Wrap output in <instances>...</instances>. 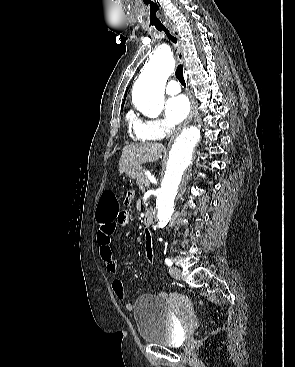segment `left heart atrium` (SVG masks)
I'll use <instances>...</instances> for the list:
<instances>
[{
	"label": "left heart atrium",
	"instance_id": "obj_1",
	"mask_svg": "<svg viewBox=\"0 0 295 367\" xmlns=\"http://www.w3.org/2000/svg\"><path fill=\"white\" fill-rule=\"evenodd\" d=\"M190 109L187 98L183 95L168 99L165 105V115L171 124H177L185 119Z\"/></svg>",
	"mask_w": 295,
	"mask_h": 367
}]
</instances>
